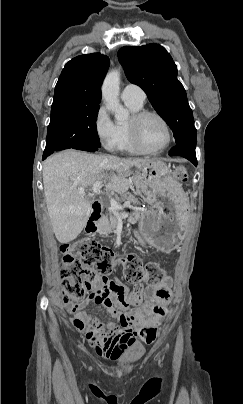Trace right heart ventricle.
Here are the masks:
<instances>
[{"label": "right heart ventricle", "mask_w": 243, "mask_h": 404, "mask_svg": "<svg viewBox=\"0 0 243 404\" xmlns=\"http://www.w3.org/2000/svg\"><path fill=\"white\" fill-rule=\"evenodd\" d=\"M127 108L131 111L132 114L137 113L142 110L144 102H139L136 99H123ZM119 136H120V152L126 155L139 156L145 154V152L141 151L137 148L128 133L127 123H118L117 124Z\"/></svg>", "instance_id": "e07e8e85"}]
</instances>
